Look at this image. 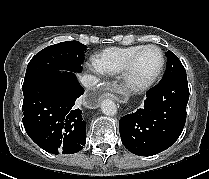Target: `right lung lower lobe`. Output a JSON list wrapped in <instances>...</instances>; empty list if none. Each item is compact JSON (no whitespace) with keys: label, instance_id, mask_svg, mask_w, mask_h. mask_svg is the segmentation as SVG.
Segmentation results:
<instances>
[{"label":"right lung lower lobe","instance_id":"98d812e1","mask_svg":"<svg viewBox=\"0 0 209 179\" xmlns=\"http://www.w3.org/2000/svg\"><path fill=\"white\" fill-rule=\"evenodd\" d=\"M84 93L73 72H54L24 94L22 119L29 137L52 154H73L86 143V124L77 98Z\"/></svg>","mask_w":209,"mask_h":179}]
</instances>
